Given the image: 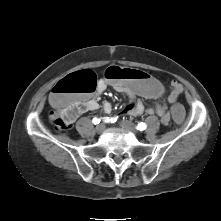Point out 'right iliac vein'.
<instances>
[{"mask_svg": "<svg viewBox=\"0 0 221 221\" xmlns=\"http://www.w3.org/2000/svg\"><path fill=\"white\" fill-rule=\"evenodd\" d=\"M104 129H105V126L103 124H99V125L96 126L95 131L98 134H100V133H102L104 131Z\"/></svg>", "mask_w": 221, "mask_h": 221, "instance_id": "right-iliac-vein-1", "label": "right iliac vein"}]
</instances>
